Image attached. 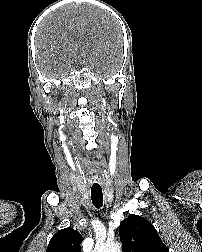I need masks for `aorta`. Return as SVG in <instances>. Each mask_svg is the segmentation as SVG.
I'll return each mask as SVG.
<instances>
[{
    "label": "aorta",
    "mask_w": 202,
    "mask_h": 252,
    "mask_svg": "<svg viewBox=\"0 0 202 252\" xmlns=\"http://www.w3.org/2000/svg\"><path fill=\"white\" fill-rule=\"evenodd\" d=\"M92 252H121L118 243L97 244Z\"/></svg>",
    "instance_id": "1"
}]
</instances>
